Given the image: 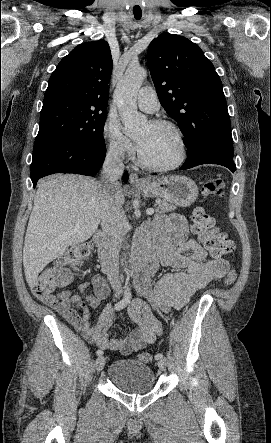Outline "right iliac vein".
I'll return each instance as SVG.
<instances>
[{
    "instance_id": "1",
    "label": "right iliac vein",
    "mask_w": 271,
    "mask_h": 443,
    "mask_svg": "<svg viewBox=\"0 0 271 443\" xmlns=\"http://www.w3.org/2000/svg\"><path fill=\"white\" fill-rule=\"evenodd\" d=\"M105 363H106L105 357L99 356L97 358V360H96V370H97V372H100L104 368Z\"/></svg>"
}]
</instances>
